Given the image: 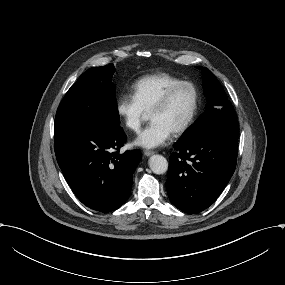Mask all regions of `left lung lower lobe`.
I'll return each mask as SVG.
<instances>
[{"label":"left lung lower lobe","instance_id":"obj_1","mask_svg":"<svg viewBox=\"0 0 285 285\" xmlns=\"http://www.w3.org/2000/svg\"><path fill=\"white\" fill-rule=\"evenodd\" d=\"M237 146V120L218 123L188 142H177L166 181L172 204L186 213L207 209L234 173Z\"/></svg>","mask_w":285,"mask_h":285}]
</instances>
